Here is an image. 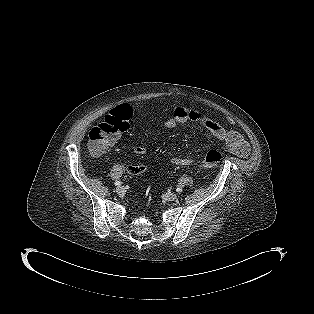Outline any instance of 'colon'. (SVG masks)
<instances>
[{
    "mask_svg": "<svg viewBox=\"0 0 314 314\" xmlns=\"http://www.w3.org/2000/svg\"><path fill=\"white\" fill-rule=\"evenodd\" d=\"M132 119V109L123 104L116 107L104 120L88 131V148L93 155L102 154L121 133L128 130ZM222 160V154L215 149L207 152L201 163V169L216 166Z\"/></svg>",
    "mask_w": 314,
    "mask_h": 314,
    "instance_id": "1",
    "label": "colon"
}]
</instances>
